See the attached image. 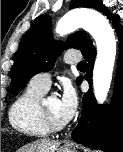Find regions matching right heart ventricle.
<instances>
[{"label": "right heart ventricle", "instance_id": "e07e8e85", "mask_svg": "<svg viewBox=\"0 0 123 152\" xmlns=\"http://www.w3.org/2000/svg\"><path fill=\"white\" fill-rule=\"evenodd\" d=\"M45 92L28 85L14 101L9 111V121L16 131L33 138L48 136L50 131L46 127L40 111V101Z\"/></svg>", "mask_w": 123, "mask_h": 152}]
</instances>
